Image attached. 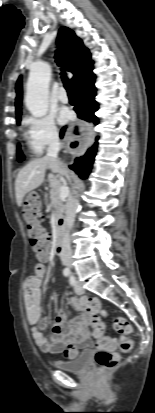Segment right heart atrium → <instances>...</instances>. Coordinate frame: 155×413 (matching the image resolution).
I'll list each match as a JSON object with an SVG mask.
<instances>
[{"label": "right heart atrium", "mask_w": 155, "mask_h": 413, "mask_svg": "<svg viewBox=\"0 0 155 413\" xmlns=\"http://www.w3.org/2000/svg\"><path fill=\"white\" fill-rule=\"evenodd\" d=\"M25 125L30 147L37 154L59 139V130L51 115L29 116L25 119Z\"/></svg>", "instance_id": "d8ad5b80"}]
</instances>
